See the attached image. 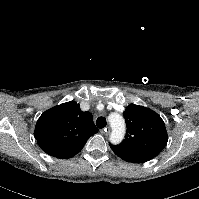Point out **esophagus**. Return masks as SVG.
<instances>
[{"instance_id": "esophagus-1", "label": "esophagus", "mask_w": 199, "mask_h": 199, "mask_svg": "<svg viewBox=\"0 0 199 199\" xmlns=\"http://www.w3.org/2000/svg\"><path fill=\"white\" fill-rule=\"evenodd\" d=\"M101 133L108 135L110 133V127L109 126L105 127L104 129L101 130Z\"/></svg>"}]
</instances>
